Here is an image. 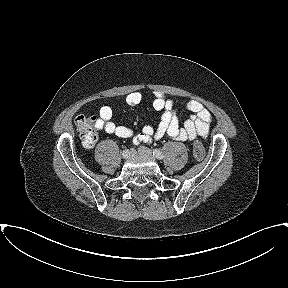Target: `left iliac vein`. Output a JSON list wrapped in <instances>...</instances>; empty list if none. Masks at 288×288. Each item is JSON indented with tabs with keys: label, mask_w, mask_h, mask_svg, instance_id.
Here are the masks:
<instances>
[{
	"label": "left iliac vein",
	"mask_w": 288,
	"mask_h": 288,
	"mask_svg": "<svg viewBox=\"0 0 288 288\" xmlns=\"http://www.w3.org/2000/svg\"><path fill=\"white\" fill-rule=\"evenodd\" d=\"M138 154L147 157L149 159H155L154 155L152 154V151L146 147L140 146L138 148Z\"/></svg>",
	"instance_id": "1"
}]
</instances>
